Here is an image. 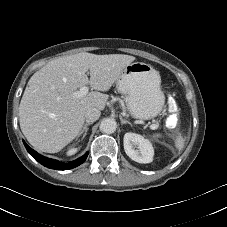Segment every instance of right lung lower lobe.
<instances>
[{"instance_id":"right-lung-lower-lobe-1","label":"right lung lower lobe","mask_w":227,"mask_h":227,"mask_svg":"<svg viewBox=\"0 0 227 227\" xmlns=\"http://www.w3.org/2000/svg\"><path fill=\"white\" fill-rule=\"evenodd\" d=\"M28 153L36 160L38 161L40 164L44 165L47 168H51V169H55V170H68V169H72L74 167L79 166L80 164H82L87 156L88 153H86L85 155H83L82 157H80L79 159L70 162L69 164H63L57 160L54 159H50L47 157H44L40 154H38L36 151H34L33 149H31L24 141H23Z\"/></svg>"}]
</instances>
